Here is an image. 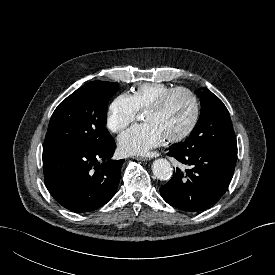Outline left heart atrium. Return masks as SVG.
<instances>
[{
    "label": "left heart atrium",
    "mask_w": 275,
    "mask_h": 275,
    "mask_svg": "<svg viewBox=\"0 0 275 275\" xmlns=\"http://www.w3.org/2000/svg\"><path fill=\"white\" fill-rule=\"evenodd\" d=\"M160 129L153 123L134 125L118 138L120 151L125 155H145L164 140Z\"/></svg>",
    "instance_id": "left-heart-atrium-1"
}]
</instances>
